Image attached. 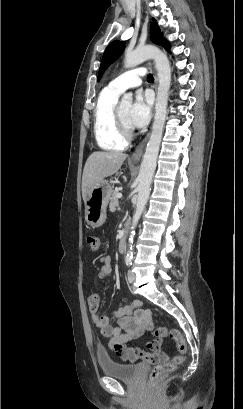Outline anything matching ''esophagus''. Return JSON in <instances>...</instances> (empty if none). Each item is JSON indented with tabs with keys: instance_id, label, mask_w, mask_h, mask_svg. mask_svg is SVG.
Segmentation results:
<instances>
[{
	"instance_id": "34e87169",
	"label": "esophagus",
	"mask_w": 243,
	"mask_h": 409,
	"mask_svg": "<svg viewBox=\"0 0 243 409\" xmlns=\"http://www.w3.org/2000/svg\"><path fill=\"white\" fill-rule=\"evenodd\" d=\"M154 89L156 90L157 87V77L155 76L154 80ZM150 133L146 135V137L136 146L134 152L130 156V161L131 162H139L143 153V150L145 148L146 142L149 138Z\"/></svg>"
}]
</instances>
